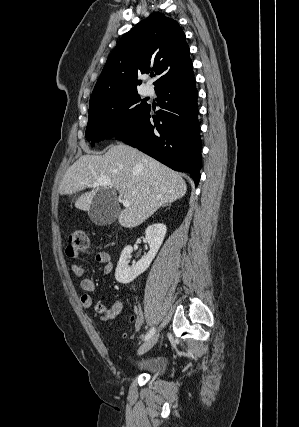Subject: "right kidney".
I'll list each match as a JSON object with an SVG mask.
<instances>
[{
  "label": "right kidney",
  "mask_w": 299,
  "mask_h": 427,
  "mask_svg": "<svg viewBox=\"0 0 299 427\" xmlns=\"http://www.w3.org/2000/svg\"><path fill=\"white\" fill-rule=\"evenodd\" d=\"M166 232L167 227L162 223L149 226L145 231V237L150 250L146 256L131 267L128 265V259L133 249L131 246H126L123 249L115 271V278L119 283L128 284L148 269L163 243Z\"/></svg>",
  "instance_id": "right-kidney-1"
}]
</instances>
